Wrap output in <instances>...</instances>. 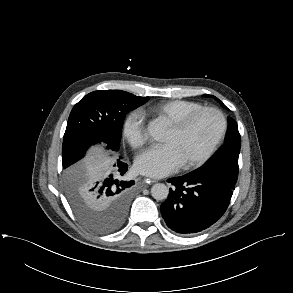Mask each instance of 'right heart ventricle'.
<instances>
[{"label": "right heart ventricle", "instance_id": "1", "mask_svg": "<svg viewBox=\"0 0 293 293\" xmlns=\"http://www.w3.org/2000/svg\"><path fill=\"white\" fill-rule=\"evenodd\" d=\"M204 107L203 104L199 102L173 99L168 101H163L152 106L149 112L167 120L169 124L174 123L188 113Z\"/></svg>", "mask_w": 293, "mask_h": 293}]
</instances>
